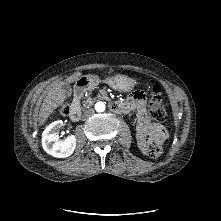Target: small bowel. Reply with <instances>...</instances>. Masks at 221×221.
Listing matches in <instances>:
<instances>
[{"label": "small bowel", "instance_id": "c3829d8e", "mask_svg": "<svg viewBox=\"0 0 221 221\" xmlns=\"http://www.w3.org/2000/svg\"><path fill=\"white\" fill-rule=\"evenodd\" d=\"M145 101L143 91L135 90L126 103L128 112H136V137L143 153H147L152 143H161L168 137V132L161 123L149 119Z\"/></svg>", "mask_w": 221, "mask_h": 221}]
</instances>
